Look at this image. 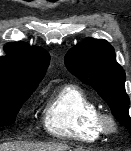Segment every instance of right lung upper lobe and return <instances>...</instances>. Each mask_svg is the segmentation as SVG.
Wrapping results in <instances>:
<instances>
[{"instance_id": "cb5924a9", "label": "right lung upper lobe", "mask_w": 131, "mask_h": 151, "mask_svg": "<svg viewBox=\"0 0 131 151\" xmlns=\"http://www.w3.org/2000/svg\"><path fill=\"white\" fill-rule=\"evenodd\" d=\"M4 49L7 55L0 57V85L37 87L49 65V54L23 42L10 43Z\"/></svg>"}]
</instances>
